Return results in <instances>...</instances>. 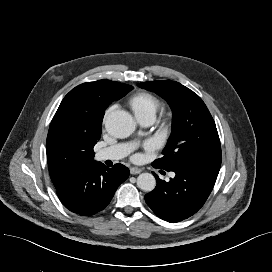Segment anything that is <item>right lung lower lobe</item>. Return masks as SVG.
<instances>
[{"instance_id":"right-lung-lower-lobe-1","label":"right lung lower lobe","mask_w":272,"mask_h":272,"mask_svg":"<svg viewBox=\"0 0 272 272\" xmlns=\"http://www.w3.org/2000/svg\"><path fill=\"white\" fill-rule=\"evenodd\" d=\"M128 176L129 170L122 164L110 169L98 162L87 166L74 181L57 189V195L68 210L91 216L110 203L116 189Z\"/></svg>"}]
</instances>
